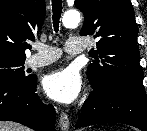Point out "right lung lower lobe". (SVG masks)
Instances as JSON below:
<instances>
[{
	"instance_id": "right-lung-lower-lobe-1",
	"label": "right lung lower lobe",
	"mask_w": 147,
	"mask_h": 131,
	"mask_svg": "<svg viewBox=\"0 0 147 131\" xmlns=\"http://www.w3.org/2000/svg\"><path fill=\"white\" fill-rule=\"evenodd\" d=\"M37 78L0 82V120L14 121L36 131H54L55 110L36 94Z\"/></svg>"
}]
</instances>
